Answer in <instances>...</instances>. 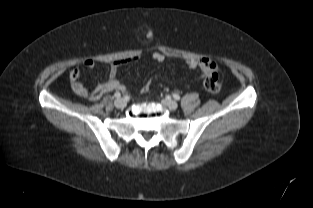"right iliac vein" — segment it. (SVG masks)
Here are the masks:
<instances>
[{
    "mask_svg": "<svg viewBox=\"0 0 313 208\" xmlns=\"http://www.w3.org/2000/svg\"><path fill=\"white\" fill-rule=\"evenodd\" d=\"M114 105L116 108L122 109V108L126 107L127 102L123 98H118L115 100Z\"/></svg>",
    "mask_w": 313,
    "mask_h": 208,
    "instance_id": "obj_1",
    "label": "right iliac vein"
}]
</instances>
